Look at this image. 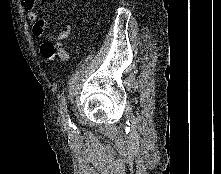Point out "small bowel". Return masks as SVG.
<instances>
[{"label":"small bowel","instance_id":"obj_1","mask_svg":"<svg viewBox=\"0 0 221 174\" xmlns=\"http://www.w3.org/2000/svg\"><path fill=\"white\" fill-rule=\"evenodd\" d=\"M23 8L26 12L28 20L35 22L33 30L36 36L41 37L44 34V22L38 18L36 11L37 0H21ZM71 26L66 25L57 35L56 41L45 40L40 46L41 54L49 60H53L56 56L64 61H68L70 56L66 51L63 41L70 35Z\"/></svg>","mask_w":221,"mask_h":174}]
</instances>
